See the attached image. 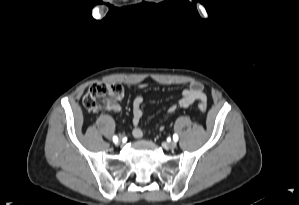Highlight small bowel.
I'll return each mask as SVG.
<instances>
[{"instance_id":"obj_1","label":"small bowel","mask_w":299,"mask_h":205,"mask_svg":"<svg viewBox=\"0 0 299 205\" xmlns=\"http://www.w3.org/2000/svg\"><path fill=\"white\" fill-rule=\"evenodd\" d=\"M142 87H144V85H142ZM144 100L145 99L142 95H138L134 98L132 103V123L134 125L132 135L137 139L143 136V130L140 128L139 124L143 117L142 106L144 104ZM196 101L206 102V95L203 92L202 84L197 81H193L189 84L188 88L182 91L177 104L171 105L168 108L167 112L173 113L178 107L188 108ZM109 109L114 112H119L121 110V107L119 104H114L110 106Z\"/></svg>"}]
</instances>
